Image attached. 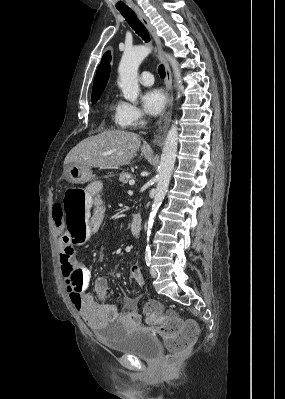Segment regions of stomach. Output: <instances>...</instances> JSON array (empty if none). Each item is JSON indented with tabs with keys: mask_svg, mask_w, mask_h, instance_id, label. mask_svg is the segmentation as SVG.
Wrapping results in <instances>:
<instances>
[{
	"mask_svg": "<svg viewBox=\"0 0 285 399\" xmlns=\"http://www.w3.org/2000/svg\"><path fill=\"white\" fill-rule=\"evenodd\" d=\"M64 177L73 184H84L92 179L90 167L69 164L64 168Z\"/></svg>",
	"mask_w": 285,
	"mask_h": 399,
	"instance_id": "1",
	"label": "stomach"
}]
</instances>
